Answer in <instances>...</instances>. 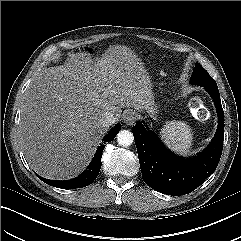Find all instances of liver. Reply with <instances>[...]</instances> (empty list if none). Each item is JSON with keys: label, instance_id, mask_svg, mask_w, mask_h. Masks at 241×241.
<instances>
[{"label": "liver", "instance_id": "liver-1", "mask_svg": "<svg viewBox=\"0 0 241 241\" xmlns=\"http://www.w3.org/2000/svg\"><path fill=\"white\" fill-rule=\"evenodd\" d=\"M96 61L87 52L72 54L38 72L25 92L20 141L44 178L70 179L86 168L108 130L100 124L106 112L118 120L122 108L154 105L150 76L130 48L109 46Z\"/></svg>", "mask_w": 241, "mask_h": 241}]
</instances>
